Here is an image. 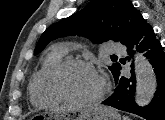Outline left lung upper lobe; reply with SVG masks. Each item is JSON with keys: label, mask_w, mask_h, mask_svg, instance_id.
I'll return each mask as SVG.
<instances>
[{"label": "left lung upper lobe", "mask_w": 165, "mask_h": 120, "mask_svg": "<svg viewBox=\"0 0 165 120\" xmlns=\"http://www.w3.org/2000/svg\"><path fill=\"white\" fill-rule=\"evenodd\" d=\"M141 18L129 0H93L81 11L48 27L36 45L35 54L51 40L67 35L85 36L94 43L113 40L124 44ZM119 67V63L109 67L115 80Z\"/></svg>", "instance_id": "left-lung-upper-lobe-1"}]
</instances>
